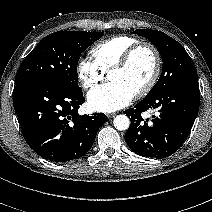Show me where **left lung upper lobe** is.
Instances as JSON below:
<instances>
[{"mask_svg": "<svg viewBox=\"0 0 212 212\" xmlns=\"http://www.w3.org/2000/svg\"><path fill=\"white\" fill-rule=\"evenodd\" d=\"M134 33L151 41L163 60L161 76L146 97L166 91L180 82L198 77L192 59L176 40L156 30L138 29Z\"/></svg>", "mask_w": 212, "mask_h": 212, "instance_id": "1", "label": "left lung upper lobe"}]
</instances>
